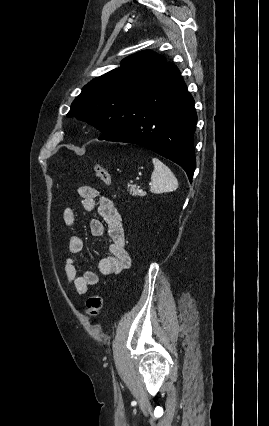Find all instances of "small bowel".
Wrapping results in <instances>:
<instances>
[{"mask_svg":"<svg viewBox=\"0 0 269 426\" xmlns=\"http://www.w3.org/2000/svg\"><path fill=\"white\" fill-rule=\"evenodd\" d=\"M82 209L86 212L97 210L99 219L90 221V232L94 237H101L107 232L110 238L109 255L98 264L99 272L103 275H116L128 269L131 263L129 253L125 245V231L120 213L113 202L92 186L78 188ZM62 219L66 226L72 227L77 222V214L71 208L64 209ZM83 239L73 235L68 241V250L71 255H76L83 249ZM65 275L68 285L80 294L85 295L90 287L99 282L98 275L91 270L79 272L76 261L70 256L65 261Z\"/></svg>","mask_w":269,"mask_h":426,"instance_id":"c3829d8e","label":"small bowel"}]
</instances>
